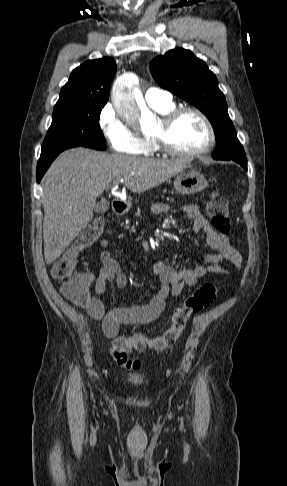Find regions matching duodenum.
<instances>
[{
  "label": "duodenum",
  "mask_w": 287,
  "mask_h": 486,
  "mask_svg": "<svg viewBox=\"0 0 287 486\" xmlns=\"http://www.w3.org/2000/svg\"><path fill=\"white\" fill-rule=\"evenodd\" d=\"M125 208H126V205L121 200H114L112 202V212L115 215H121L124 212Z\"/></svg>",
  "instance_id": "obj_1"
}]
</instances>
